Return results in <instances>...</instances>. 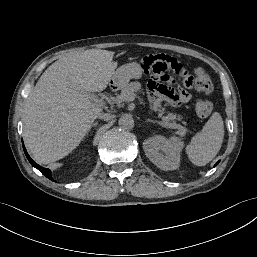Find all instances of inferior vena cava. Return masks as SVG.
<instances>
[{
  "mask_svg": "<svg viewBox=\"0 0 257 257\" xmlns=\"http://www.w3.org/2000/svg\"><path fill=\"white\" fill-rule=\"evenodd\" d=\"M112 115L108 114V113H104V112H100L97 114L96 118L102 119L104 121H109L112 119Z\"/></svg>",
  "mask_w": 257,
  "mask_h": 257,
  "instance_id": "1",
  "label": "inferior vena cava"
}]
</instances>
